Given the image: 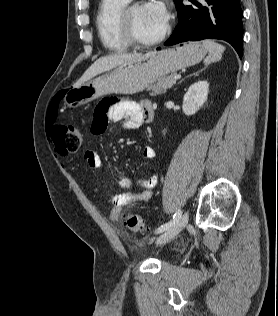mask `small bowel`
<instances>
[{"instance_id": "c3829d8e", "label": "small bowel", "mask_w": 278, "mask_h": 316, "mask_svg": "<svg viewBox=\"0 0 278 316\" xmlns=\"http://www.w3.org/2000/svg\"><path fill=\"white\" fill-rule=\"evenodd\" d=\"M152 109L149 101H135L131 99H103L96 107L94 119L91 125V134H100L108 120L114 122H122L125 129L139 128L146 120V114ZM142 157L146 160L155 158V150L150 147H144ZM84 159L87 165L94 170L101 168V157L96 149H88L84 153ZM157 176H151L147 180H138L142 191L140 193H133L129 190L132 185V180L123 178L120 181V187L125 191L119 194L110 196V203L112 211L110 213V220L117 222L122 209L137 201H147L152 195V190L157 184Z\"/></svg>"}]
</instances>
